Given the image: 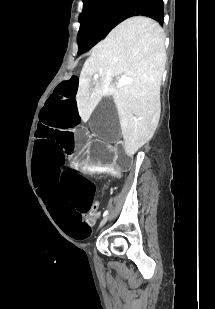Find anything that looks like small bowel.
I'll return each instance as SVG.
<instances>
[{"label": "small bowel", "mask_w": 215, "mask_h": 309, "mask_svg": "<svg viewBox=\"0 0 215 309\" xmlns=\"http://www.w3.org/2000/svg\"><path fill=\"white\" fill-rule=\"evenodd\" d=\"M97 209V205H96V207L94 208V210H96Z\"/></svg>", "instance_id": "obj_1"}]
</instances>
